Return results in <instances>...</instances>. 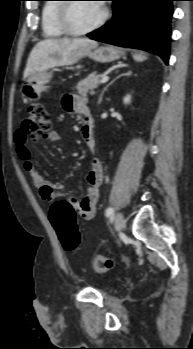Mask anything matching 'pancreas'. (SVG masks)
<instances>
[{
	"instance_id": "pancreas-1",
	"label": "pancreas",
	"mask_w": 193,
	"mask_h": 349,
	"mask_svg": "<svg viewBox=\"0 0 193 349\" xmlns=\"http://www.w3.org/2000/svg\"><path fill=\"white\" fill-rule=\"evenodd\" d=\"M100 79V74H96L95 72L91 73L77 84L76 89L78 93L83 96H86L87 93L93 94L94 89L100 84Z\"/></svg>"
}]
</instances>
